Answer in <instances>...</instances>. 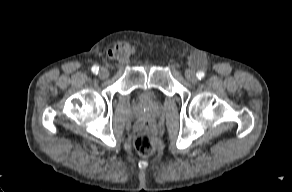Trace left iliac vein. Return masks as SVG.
Returning a JSON list of instances; mask_svg holds the SVG:
<instances>
[{
	"instance_id": "1",
	"label": "left iliac vein",
	"mask_w": 292,
	"mask_h": 192,
	"mask_svg": "<svg viewBox=\"0 0 292 192\" xmlns=\"http://www.w3.org/2000/svg\"><path fill=\"white\" fill-rule=\"evenodd\" d=\"M185 76L188 79V81H190L191 83L197 82V76L193 70H191V69L186 70Z\"/></svg>"
}]
</instances>
